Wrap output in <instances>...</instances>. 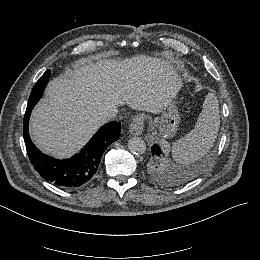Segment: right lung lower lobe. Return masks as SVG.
<instances>
[{
	"label": "right lung lower lobe",
	"instance_id": "obj_1",
	"mask_svg": "<svg viewBox=\"0 0 260 260\" xmlns=\"http://www.w3.org/2000/svg\"><path fill=\"white\" fill-rule=\"evenodd\" d=\"M48 81L49 75L44 73L33 88L34 102L28 101L23 127L27 153L35 170L45 180L63 189H76L87 185L94 179L102 154L119 138L120 123L113 121L102 126L85 147L69 159L58 160L42 154L29 137L28 122L30 113L38 102L37 99L39 100L42 96Z\"/></svg>",
	"mask_w": 260,
	"mask_h": 260
}]
</instances>
